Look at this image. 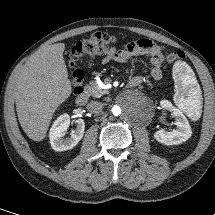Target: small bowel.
<instances>
[{"label": "small bowel", "mask_w": 215, "mask_h": 215, "mask_svg": "<svg viewBox=\"0 0 215 215\" xmlns=\"http://www.w3.org/2000/svg\"><path fill=\"white\" fill-rule=\"evenodd\" d=\"M137 56H148L151 61L150 74L155 80H160L162 78V63H163V53L160 46L155 44L149 39H139L135 41L127 42L122 49H116L112 47L107 52L106 56L101 60L103 65L109 63L110 61H115L118 63H124L130 58ZM131 81H137L138 85L142 82L141 76H135Z\"/></svg>", "instance_id": "1"}]
</instances>
